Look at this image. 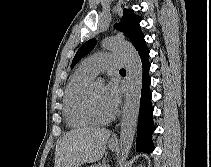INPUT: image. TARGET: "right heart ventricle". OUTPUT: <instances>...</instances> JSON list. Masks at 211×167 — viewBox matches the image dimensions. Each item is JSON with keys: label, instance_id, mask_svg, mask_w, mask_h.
<instances>
[{"label": "right heart ventricle", "instance_id": "right-heart-ventricle-1", "mask_svg": "<svg viewBox=\"0 0 211 167\" xmlns=\"http://www.w3.org/2000/svg\"><path fill=\"white\" fill-rule=\"evenodd\" d=\"M94 75L80 66L72 75L64 96V116L73 128H88L95 123L86 114L83 97Z\"/></svg>", "mask_w": 211, "mask_h": 167}]
</instances>
